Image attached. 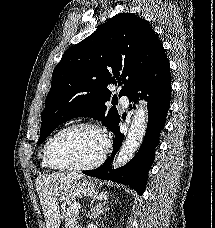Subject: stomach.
Returning a JSON list of instances; mask_svg holds the SVG:
<instances>
[{
    "mask_svg": "<svg viewBox=\"0 0 215 228\" xmlns=\"http://www.w3.org/2000/svg\"><path fill=\"white\" fill-rule=\"evenodd\" d=\"M102 188V182L99 180H81V182H72V184H61L58 192L59 198L64 200H73V198H82V196H95L99 194Z\"/></svg>",
    "mask_w": 215,
    "mask_h": 228,
    "instance_id": "stomach-1",
    "label": "stomach"
}]
</instances>
